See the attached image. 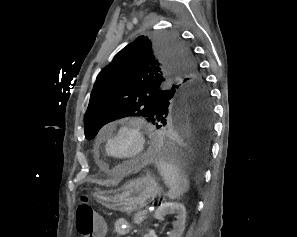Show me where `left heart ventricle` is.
I'll return each mask as SVG.
<instances>
[{
  "label": "left heart ventricle",
  "instance_id": "obj_1",
  "mask_svg": "<svg viewBox=\"0 0 297 237\" xmlns=\"http://www.w3.org/2000/svg\"><path fill=\"white\" fill-rule=\"evenodd\" d=\"M135 151V141L134 138L123 133L115 138H113L109 145V152L118 158H122L132 154Z\"/></svg>",
  "mask_w": 297,
  "mask_h": 237
}]
</instances>
